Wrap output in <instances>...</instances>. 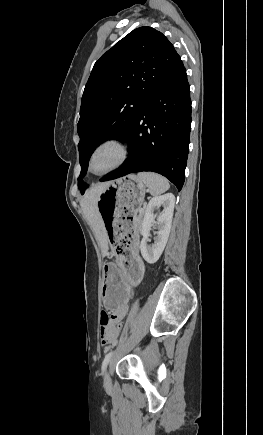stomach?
Masks as SVG:
<instances>
[{"label":"stomach","instance_id":"obj_1","mask_svg":"<svg viewBox=\"0 0 263 435\" xmlns=\"http://www.w3.org/2000/svg\"><path fill=\"white\" fill-rule=\"evenodd\" d=\"M145 192V184L136 175H127L111 181L97 200L103 221L101 232L108 233L110 254L114 257L103 265L104 310H120L121 305H130L131 288L140 286L142 264L132 261L131 256L134 247H138L140 224H135V219Z\"/></svg>","mask_w":263,"mask_h":435}]
</instances>
